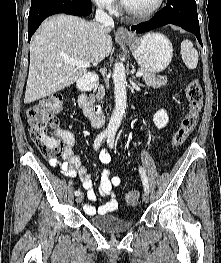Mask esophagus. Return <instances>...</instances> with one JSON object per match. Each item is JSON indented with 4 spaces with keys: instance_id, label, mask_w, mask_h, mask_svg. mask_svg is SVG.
Segmentation results:
<instances>
[{
    "instance_id": "34e87169",
    "label": "esophagus",
    "mask_w": 221,
    "mask_h": 263,
    "mask_svg": "<svg viewBox=\"0 0 221 263\" xmlns=\"http://www.w3.org/2000/svg\"><path fill=\"white\" fill-rule=\"evenodd\" d=\"M117 35L121 38H131L132 37V34L128 31V29L123 26L118 27Z\"/></svg>"
}]
</instances>
